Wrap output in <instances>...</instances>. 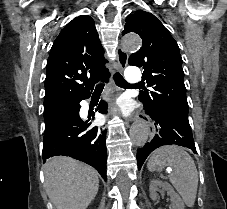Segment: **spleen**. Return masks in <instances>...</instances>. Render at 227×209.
<instances>
[{
  "label": "spleen",
  "mask_w": 227,
  "mask_h": 209,
  "mask_svg": "<svg viewBox=\"0 0 227 209\" xmlns=\"http://www.w3.org/2000/svg\"><path fill=\"white\" fill-rule=\"evenodd\" d=\"M148 171H163L165 167L173 169L169 175V181L178 191L187 207H194L198 189V173L195 163L182 149L177 145H165L152 153L148 163Z\"/></svg>",
  "instance_id": "obj_1"
}]
</instances>
